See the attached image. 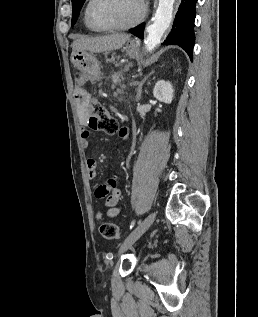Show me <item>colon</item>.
Here are the masks:
<instances>
[{
	"label": "colon",
	"mask_w": 258,
	"mask_h": 317,
	"mask_svg": "<svg viewBox=\"0 0 258 317\" xmlns=\"http://www.w3.org/2000/svg\"><path fill=\"white\" fill-rule=\"evenodd\" d=\"M88 110V125L91 129L105 133H116L118 131V121L96 99L89 100ZM98 217H100V215H98ZM99 231L102 237L107 240H117L121 235L120 228L112 222H101Z\"/></svg>",
	"instance_id": "5ec220e1"
}]
</instances>
